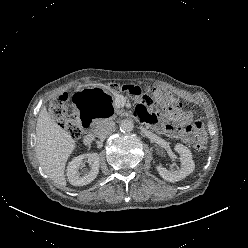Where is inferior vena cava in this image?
Segmentation results:
<instances>
[{"label": "inferior vena cava", "mask_w": 248, "mask_h": 248, "mask_svg": "<svg viewBox=\"0 0 248 248\" xmlns=\"http://www.w3.org/2000/svg\"><path fill=\"white\" fill-rule=\"evenodd\" d=\"M115 130V122L112 120H105L100 123L95 131V134L99 138H105L112 134Z\"/></svg>", "instance_id": "inferior-vena-cava-1"}]
</instances>
